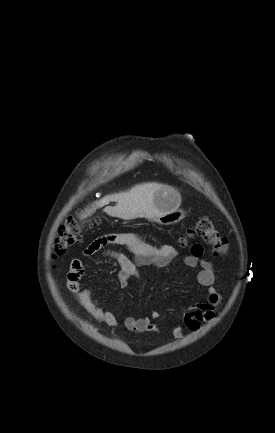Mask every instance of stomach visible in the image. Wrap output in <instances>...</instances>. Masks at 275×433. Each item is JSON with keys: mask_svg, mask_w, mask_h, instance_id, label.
Here are the masks:
<instances>
[{"mask_svg": "<svg viewBox=\"0 0 275 433\" xmlns=\"http://www.w3.org/2000/svg\"><path fill=\"white\" fill-rule=\"evenodd\" d=\"M180 194L172 187L162 186L154 194V205L159 215L153 220L161 225H172L181 221L185 214L179 210Z\"/></svg>", "mask_w": 275, "mask_h": 433, "instance_id": "1", "label": "stomach"}]
</instances>
